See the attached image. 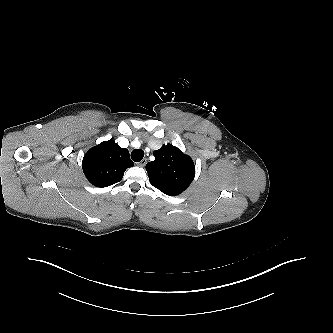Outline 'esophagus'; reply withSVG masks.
Listing matches in <instances>:
<instances>
[{
  "label": "esophagus",
  "instance_id": "obj_1",
  "mask_svg": "<svg viewBox=\"0 0 333 333\" xmlns=\"http://www.w3.org/2000/svg\"><path fill=\"white\" fill-rule=\"evenodd\" d=\"M147 164V159H143L138 163V166L144 167Z\"/></svg>",
  "mask_w": 333,
  "mask_h": 333
}]
</instances>
